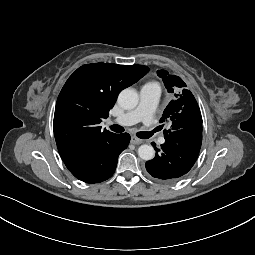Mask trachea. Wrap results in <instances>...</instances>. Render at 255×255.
Listing matches in <instances>:
<instances>
[{
    "instance_id": "3493384b",
    "label": "trachea",
    "mask_w": 255,
    "mask_h": 255,
    "mask_svg": "<svg viewBox=\"0 0 255 255\" xmlns=\"http://www.w3.org/2000/svg\"><path fill=\"white\" fill-rule=\"evenodd\" d=\"M110 129L114 132H117V133H121V132H124V128L120 125H112L110 126ZM157 130H153L151 132H147V131H144V132H138L137 133V136L141 139H148L150 138L154 132H156Z\"/></svg>"
}]
</instances>
